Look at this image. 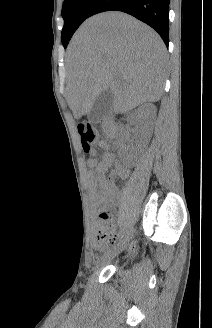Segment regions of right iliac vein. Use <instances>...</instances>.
<instances>
[{"label": "right iliac vein", "mask_w": 212, "mask_h": 328, "mask_svg": "<svg viewBox=\"0 0 212 328\" xmlns=\"http://www.w3.org/2000/svg\"><path fill=\"white\" fill-rule=\"evenodd\" d=\"M132 230L127 231V233L122 237L120 242L111 250L108 251L107 254L101 258V260H98L95 264V268L99 267L105 260L112 259L116 255L120 254L127 246L130 237H131Z\"/></svg>", "instance_id": "1"}]
</instances>
